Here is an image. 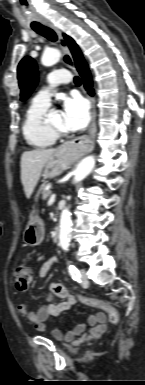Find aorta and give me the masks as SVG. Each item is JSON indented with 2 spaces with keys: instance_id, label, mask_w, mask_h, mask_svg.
Listing matches in <instances>:
<instances>
[{
  "instance_id": "1",
  "label": "aorta",
  "mask_w": 145,
  "mask_h": 385,
  "mask_svg": "<svg viewBox=\"0 0 145 385\" xmlns=\"http://www.w3.org/2000/svg\"><path fill=\"white\" fill-rule=\"evenodd\" d=\"M61 53L57 49H50L44 52L41 62L44 66H52L59 61ZM94 156H87L82 159L75 170L74 182L83 180L94 168ZM71 213L68 208L62 210L60 217L59 241L62 249L67 250L70 243Z\"/></svg>"
}]
</instances>
